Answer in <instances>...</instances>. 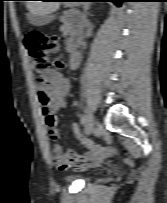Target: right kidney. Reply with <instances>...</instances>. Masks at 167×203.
<instances>
[{
	"label": "right kidney",
	"instance_id": "right-kidney-1",
	"mask_svg": "<svg viewBox=\"0 0 167 203\" xmlns=\"http://www.w3.org/2000/svg\"><path fill=\"white\" fill-rule=\"evenodd\" d=\"M80 54L79 53H74L72 54L71 56V59H70V68L72 70H75L79 67L80 65Z\"/></svg>",
	"mask_w": 167,
	"mask_h": 203
}]
</instances>
